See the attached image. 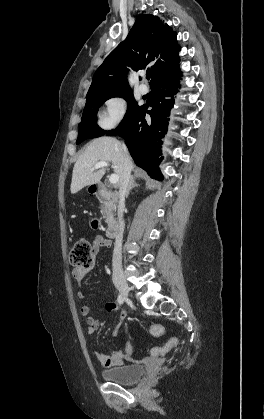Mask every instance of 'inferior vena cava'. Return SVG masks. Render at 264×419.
<instances>
[{"label": "inferior vena cava", "instance_id": "inferior-vena-cava-1", "mask_svg": "<svg viewBox=\"0 0 264 419\" xmlns=\"http://www.w3.org/2000/svg\"><path fill=\"white\" fill-rule=\"evenodd\" d=\"M123 160H124V174H123V183L119 189V206H118V234L115 239V246L113 251V269L114 270H121L122 268V255H121V246H122V239H123V232H124V220L122 209L124 207L125 196L127 193L128 185L131 178V170H132V162L130 156L128 154V150L123 144Z\"/></svg>", "mask_w": 264, "mask_h": 419}]
</instances>
